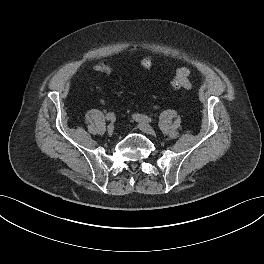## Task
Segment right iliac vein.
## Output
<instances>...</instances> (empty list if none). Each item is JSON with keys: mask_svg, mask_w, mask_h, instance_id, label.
<instances>
[{"mask_svg": "<svg viewBox=\"0 0 264 264\" xmlns=\"http://www.w3.org/2000/svg\"><path fill=\"white\" fill-rule=\"evenodd\" d=\"M107 132L109 135H112L114 132V125L113 124H109L107 127Z\"/></svg>", "mask_w": 264, "mask_h": 264, "instance_id": "63e3f726", "label": "right iliac vein"}]
</instances>
